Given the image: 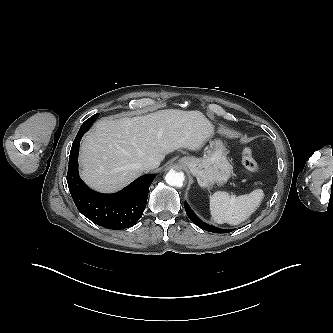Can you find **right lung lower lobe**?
I'll return each instance as SVG.
<instances>
[{
  "label": "right lung lower lobe",
  "instance_id": "right-lung-lower-lobe-1",
  "mask_svg": "<svg viewBox=\"0 0 333 333\" xmlns=\"http://www.w3.org/2000/svg\"><path fill=\"white\" fill-rule=\"evenodd\" d=\"M99 114L87 119L80 127L72 144L67 183L77 209L92 222L108 229H124L141 218L155 174L144 175L114 194L91 190L78 174L79 143Z\"/></svg>",
  "mask_w": 333,
  "mask_h": 333
}]
</instances>
